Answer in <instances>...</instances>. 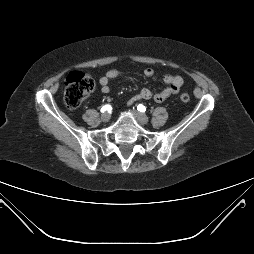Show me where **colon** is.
Listing matches in <instances>:
<instances>
[{
	"mask_svg": "<svg viewBox=\"0 0 254 254\" xmlns=\"http://www.w3.org/2000/svg\"><path fill=\"white\" fill-rule=\"evenodd\" d=\"M94 87L95 82L90 74L79 71L70 73L64 83L65 105L70 109L78 108L91 94ZM180 100L187 103L190 97L187 93H182L180 95Z\"/></svg>",
	"mask_w": 254,
	"mask_h": 254,
	"instance_id": "1",
	"label": "colon"
}]
</instances>
